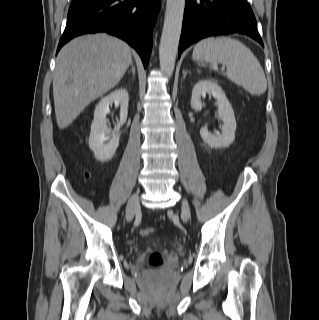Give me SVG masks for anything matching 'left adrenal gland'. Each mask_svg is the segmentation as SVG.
<instances>
[{"label":"left adrenal gland","mask_w":319,"mask_h":320,"mask_svg":"<svg viewBox=\"0 0 319 320\" xmlns=\"http://www.w3.org/2000/svg\"><path fill=\"white\" fill-rule=\"evenodd\" d=\"M187 73H188V71L183 70V78H185V77H186Z\"/></svg>","instance_id":"1"}]
</instances>
